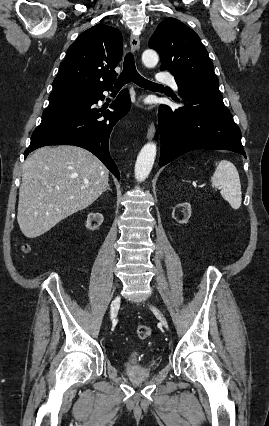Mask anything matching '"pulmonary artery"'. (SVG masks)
Masks as SVG:
<instances>
[{
    "mask_svg": "<svg viewBox=\"0 0 269 426\" xmlns=\"http://www.w3.org/2000/svg\"><path fill=\"white\" fill-rule=\"evenodd\" d=\"M157 80L159 82H162L164 84H167L169 86H171L172 88H174L175 90L178 89V84L176 79L174 78L173 75L171 74H166V73H159L157 76Z\"/></svg>",
    "mask_w": 269,
    "mask_h": 426,
    "instance_id": "pulmonary-artery-1",
    "label": "pulmonary artery"
}]
</instances>
